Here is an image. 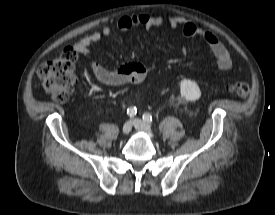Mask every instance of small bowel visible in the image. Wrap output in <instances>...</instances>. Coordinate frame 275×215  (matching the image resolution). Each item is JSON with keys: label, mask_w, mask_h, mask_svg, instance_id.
<instances>
[{"label": "small bowel", "mask_w": 275, "mask_h": 215, "mask_svg": "<svg viewBox=\"0 0 275 215\" xmlns=\"http://www.w3.org/2000/svg\"><path fill=\"white\" fill-rule=\"evenodd\" d=\"M164 25L180 28L186 37L203 40L213 53L220 69L228 70L232 67L231 55L218 38L212 32L198 27L191 21L170 14H136L123 16L117 21V28L120 31H126L134 27L152 29ZM112 31V27L106 25L100 31H95L76 42L73 49L79 53L87 54L93 44L99 42L103 37L110 36ZM89 66L94 77L101 84L107 86L139 84L144 81L149 72V68L141 62H128L116 70L106 69L94 61L90 62Z\"/></svg>", "instance_id": "1"}]
</instances>
